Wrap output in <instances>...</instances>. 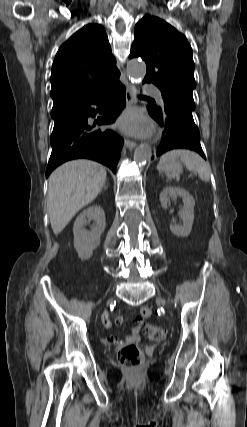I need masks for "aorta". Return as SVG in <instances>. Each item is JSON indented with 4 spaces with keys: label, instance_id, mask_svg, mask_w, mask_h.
Masks as SVG:
<instances>
[{
    "label": "aorta",
    "instance_id": "aorta-1",
    "mask_svg": "<svg viewBox=\"0 0 247 427\" xmlns=\"http://www.w3.org/2000/svg\"><path fill=\"white\" fill-rule=\"evenodd\" d=\"M146 74V66L136 60L129 62L127 66V75L133 82H139ZM152 157V149L150 146H140L134 152V162L139 165H144Z\"/></svg>",
    "mask_w": 247,
    "mask_h": 427
}]
</instances>
